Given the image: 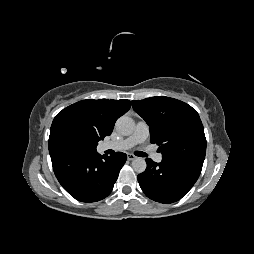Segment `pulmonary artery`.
Segmentation results:
<instances>
[{
    "instance_id": "pulmonary-artery-1",
    "label": "pulmonary artery",
    "mask_w": 254,
    "mask_h": 254,
    "mask_svg": "<svg viewBox=\"0 0 254 254\" xmlns=\"http://www.w3.org/2000/svg\"><path fill=\"white\" fill-rule=\"evenodd\" d=\"M149 137V127L144 121H139L135 127L134 132L127 138L103 144V149L126 150L134 147L137 144L144 143ZM152 158L155 162L162 161V155L154 153Z\"/></svg>"
}]
</instances>
